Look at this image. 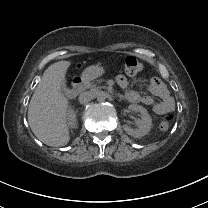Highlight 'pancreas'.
Returning <instances> with one entry per match:
<instances>
[{
    "label": "pancreas",
    "instance_id": "pancreas-1",
    "mask_svg": "<svg viewBox=\"0 0 208 208\" xmlns=\"http://www.w3.org/2000/svg\"><path fill=\"white\" fill-rule=\"evenodd\" d=\"M98 82L99 81L97 80V81H92V82L86 83V84H84V88L89 89V90H91L93 92L99 91L101 89H104L105 86H97Z\"/></svg>",
    "mask_w": 208,
    "mask_h": 208
}]
</instances>
